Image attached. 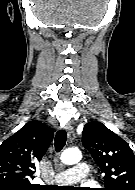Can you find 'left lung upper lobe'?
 Wrapping results in <instances>:
<instances>
[{
  "label": "left lung upper lobe",
  "mask_w": 135,
  "mask_h": 190,
  "mask_svg": "<svg viewBox=\"0 0 135 190\" xmlns=\"http://www.w3.org/2000/svg\"><path fill=\"white\" fill-rule=\"evenodd\" d=\"M82 141L105 174L103 190H135V156L126 141L97 121L84 126Z\"/></svg>",
  "instance_id": "5c2ea615"
}]
</instances>
